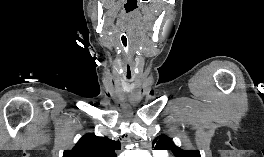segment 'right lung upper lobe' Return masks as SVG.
Masks as SVG:
<instances>
[{
  "label": "right lung upper lobe",
  "mask_w": 264,
  "mask_h": 157,
  "mask_svg": "<svg viewBox=\"0 0 264 157\" xmlns=\"http://www.w3.org/2000/svg\"><path fill=\"white\" fill-rule=\"evenodd\" d=\"M117 150H120L119 141L89 133L72 150H65L63 157H117Z\"/></svg>",
  "instance_id": "right-lung-upper-lobe-1"
}]
</instances>
